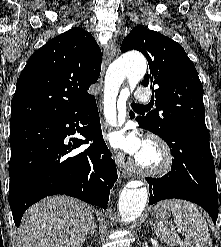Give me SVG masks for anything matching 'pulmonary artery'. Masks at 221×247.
Returning <instances> with one entry per match:
<instances>
[{
	"label": "pulmonary artery",
	"mask_w": 221,
	"mask_h": 247,
	"mask_svg": "<svg viewBox=\"0 0 221 247\" xmlns=\"http://www.w3.org/2000/svg\"><path fill=\"white\" fill-rule=\"evenodd\" d=\"M134 96L140 101H148L150 99V93L147 90H137Z\"/></svg>",
	"instance_id": "obj_1"
}]
</instances>
